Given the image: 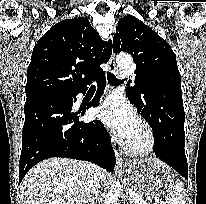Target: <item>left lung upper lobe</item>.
<instances>
[{
    "instance_id": "obj_1",
    "label": "left lung upper lobe",
    "mask_w": 206,
    "mask_h": 204,
    "mask_svg": "<svg viewBox=\"0 0 206 204\" xmlns=\"http://www.w3.org/2000/svg\"><path fill=\"white\" fill-rule=\"evenodd\" d=\"M113 51L128 52L136 63L135 86L127 87L129 101L160 132L167 116L183 109L181 76L170 45L131 15L119 20Z\"/></svg>"
}]
</instances>
